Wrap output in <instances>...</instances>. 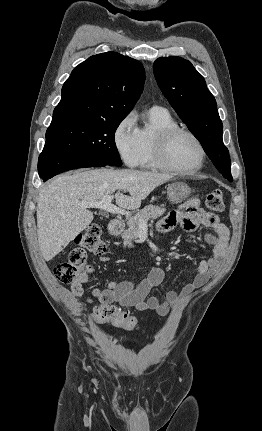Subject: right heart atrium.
<instances>
[{"mask_svg": "<svg viewBox=\"0 0 262 431\" xmlns=\"http://www.w3.org/2000/svg\"><path fill=\"white\" fill-rule=\"evenodd\" d=\"M113 143L126 165H138L140 141L138 127L132 114L124 116L116 125L113 131Z\"/></svg>", "mask_w": 262, "mask_h": 431, "instance_id": "d8ad5b80", "label": "right heart atrium"}]
</instances>
